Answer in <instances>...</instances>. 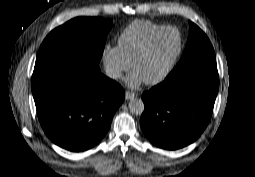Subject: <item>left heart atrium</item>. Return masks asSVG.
<instances>
[{"label": "left heart atrium", "instance_id": "left-heart-atrium-1", "mask_svg": "<svg viewBox=\"0 0 255 177\" xmlns=\"http://www.w3.org/2000/svg\"><path fill=\"white\" fill-rule=\"evenodd\" d=\"M144 81L143 77L135 70H133L125 79L126 84L132 89L139 88Z\"/></svg>", "mask_w": 255, "mask_h": 177}]
</instances>
